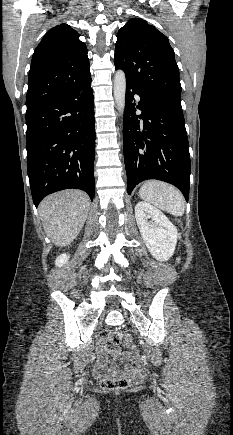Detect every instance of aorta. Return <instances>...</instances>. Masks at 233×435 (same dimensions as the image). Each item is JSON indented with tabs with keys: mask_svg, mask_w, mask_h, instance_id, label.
<instances>
[{
	"mask_svg": "<svg viewBox=\"0 0 233 435\" xmlns=\"http://www.w3.org/2000/svg\"><path fill=\"white\" fill-rule=\"evenodd\" d=\"M126 78L122 70H118L114 76V98L117 109L121 115L125 109Z\"/></svg>",
	"mask_w": 233,
	"mask_h": 435,
	"instance_id": "1",
	"label": "aorta"
}]
</instances>
